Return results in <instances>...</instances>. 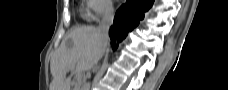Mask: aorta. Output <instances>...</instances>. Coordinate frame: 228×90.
Wrapping results in <instances>:
<instances>
[{
    "label": "aorta",
    "instance_id": "1",
    "mask_svg": "<svg viewBox=\"0 0 228 90\" xmlns=\"http://www.w3.org/2000/svg\"><path fill=\"white\" fill-rule=\"evenodd\" d=\"M91 84L90 82H86L83 84L82 90H90Z\"/></svg>",
    "mask_w": 228,
    "mask_h": 90
}]
</instances>
